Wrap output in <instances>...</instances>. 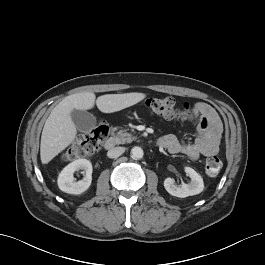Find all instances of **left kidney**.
I'll return each mask as SVG.
<instances>
[{"mask_svg":"<svg viewBox=\"0 0 265 265\" xmlns=\"http://www.w3.org/2000/svg\"><path fill=\"white\" fill-rule=\"evenodd\" d=\"M185 172L191 178V181L188 184L183 183L179 186L172 178H166L164 180V187L169 194L179 198H185L199 194L203 191L204 182L201 175L190 167H185Z\"/></svg>","mask_w":265,"mask_h":265,"instance_id":"obj_1","label":"left kidney"}]
</instances>
